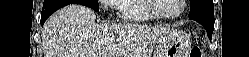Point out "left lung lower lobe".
<instances>
[{
  "mask_svg": "<svg viewBox=\"0 0 249 57\" xmlns=\"http://www.w3.org/2000/svg\"><path fill=\"white\" fill-rule=\"evenodd\" d=\"M192 20L199 22L207 31L208 37L211 40L214 30V15H197L189 17Z\"/></svg>",
  "mask_w": 249,
  "mask_h": 57,
  "instance_id": "obj_1",
  "label": "left lung lower lobe"
}]
</instances>
